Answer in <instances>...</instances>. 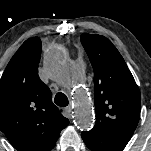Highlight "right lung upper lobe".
Listing matches in <instances>:
<instances>
[{"label": "right lung upper lobe", "instance_id": "obj_1", "mask_svg": "<svg viewBox=\"0 0 151 151\" xmlns=\"http://www.w3.org/2000/svg\"><path fill=\"white\" fill-rule=\"evenodd\" d=\"M41 40H26L0 79V130L18 151H50L69 121L38 76Z\"/></svg>", "mask_w": 151, "mask_h": 151}]
</instances>
